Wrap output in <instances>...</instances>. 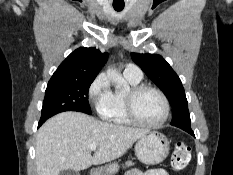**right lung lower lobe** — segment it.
I'll return each instance as SVG.
<instances>
[{
    "label": "right lung lower lobe",
    "mask_w": 233,
    "mask_h": 175,
    "mask_svg": "<svg viewBox=\"0 0 233 175\" xmlns=\"http://www.w3.org/2000/svg\"><path fill=\"white\" fill-rule=\"evenodd\" d=\"M44 122H39L38 127L41 126Z\"/></svg>",
    "instance_id": "obj_1"
}]
</instances>
